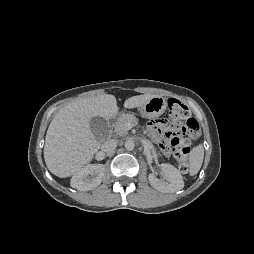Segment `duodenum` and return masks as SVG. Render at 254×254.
I'll return each instance as SVG.
<instances>
[{
    "label": "duodenum",
    "instance_id": "1",
    "mask_svg": "<svg viewBox=\"0 0 254 254\" xmlns=\"http://www.w3.org/2000/svg\"><path fill=\"white\" fill-rule=\"evenodd\" d=\"M117 115H118V113L115 116H117ZM113 118L110 120V122L113 120ZM108 130H110V123L108 124Z\"/></svg>",
    "mask_w": 254,
    "mask_h": 254
}]
</instances>
